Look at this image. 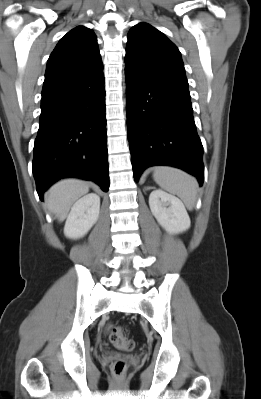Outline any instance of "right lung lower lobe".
<instances>
[{"label":"right lung lower lobe","instance_id":"98d812e1","mask_svg":"<svg viewBox=\"0 0 261 399\" xmlns=\"http://www.w3.org/2000/svg\"><path fill=\"white\" fill-rule=\"evenodd\" d=\"M103 74L42 96L32 170L41 200L57 180L78 177L109 188Z\"/></svg>","mask_w":261,"mask_h":399}]
</instances>
